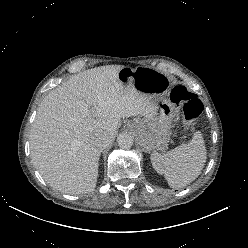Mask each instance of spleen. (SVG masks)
<instances>
[{
    "label": "spleen",
    "instance_id": "1",
    "mask_svg": "<svg viewBox=\"0 0 248 248\" xmlns=\"http://www.w3.org/2000/svg\"><path fill=\"white\" fill-rule=\"evenodd\" d=\"M206 148L200 132H196L188 144L161 154L153 152L150 156L157 173L164 175L172 188H181L194 181L206 162Z\"/></svg>",
    "mask_w": 248,
    "mask_h": 248
}]
</instances>
